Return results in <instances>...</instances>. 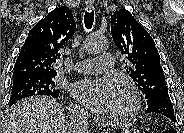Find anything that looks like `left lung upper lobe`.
<instances>
[{"mask_svg":"<svg viewBox=\"0 0 184 133\" xmlns=\"http://www.w3.org/2000/svg\"><path fill=\"white\" fill-rule=\"evenodd\" d=\"M113 41L129 61L127 72L147 103L169 98L160 56L150 34L126 9L111 16ZM127 65V63H126Z\"/></svg>","mask_w":184,"mask_h":133,"instance_id":"left-lung-upper-lobe-1","label":"left lung upper lobe"}]
</instances>
